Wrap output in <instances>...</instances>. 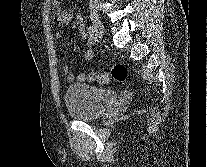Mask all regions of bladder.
Segmentation results:
<instances>
[{"instance_id":"1","label":"bladder","mask_w":207,"mask_h":167,"mask_svg":"<svg viewBox=\"0 0 207 167\" xmlns=\"http://www.w3.org/2000/svg\"><path fill=\"white\" fill-rule=\"evenodd\" d=\"M116 99L114 91L86 83H72L64 93L68 113L78 120H91L100 116Z\"/></svg>"}]
</instances>
